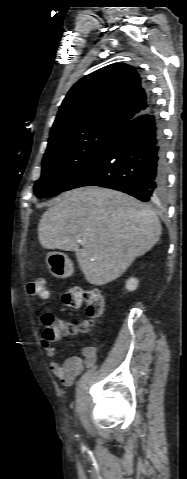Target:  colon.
<instances>
[{
    "label": "colon",
    "instance_id": "1",
    "mask_svg": "<svg viewBox=\"0 0 187 479\" xmlns=\"http://www.w3.org/2000/svg\"><path fill=\"white\" fill-rule=\"evenodd\" d=\"M31 296L46 300L50 296L48 280L44 277L37 278L28 284ZM62 303L69 309L85 310L87 319L79 324L61 322L50 313L41 316L45 325L43 337L48 340H57L68 334L87 332L104 312L105 303L102 293L96 288L83 289L79 286L68 287L62 295Z\"/></svg>",
    "mask_w": 187,
    "mask_h": 479
}]
</instances>
